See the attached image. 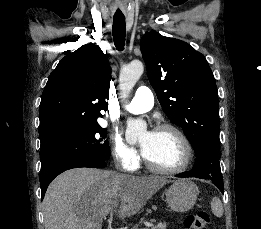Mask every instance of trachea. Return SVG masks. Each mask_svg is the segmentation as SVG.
<instances>
[{"instance_id": "trachea-1", "label": "trachea", "mask_w": 261, "mask_h": 229, "mask_svg": "<svg viewBox=\"0 0 261 229\" xmlns=\"http://www.w3.org/2000/svg\"><path fill=\"white\" fill-rule=\"evenodd\" d=\"M113 40L117 50H124L126 37V23L124 16L113 17Z\"/></svg>"}]
</instances>
